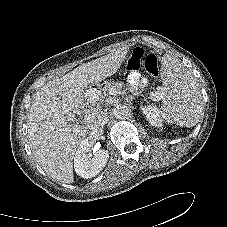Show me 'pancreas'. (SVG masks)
<instances>
[{"label":"pancreas","instance_id":"cf45deb5","mask_svg":"<svg viewBox=\"0 0 227 227\" xmlns=\"http://www.w3.org/2000/svg\"><path fill=\"white\" fill-rule=\"evenodd\" d=\"M123 87H124V84L119 81L107 82L101 91H98L96 89L88 90L87 97L90 98V95L93 94L98 98L96 101L102 100L104 96H108L111 94V90L116 91L114 94L122 95L126 93V89H124Z\"/></svg>","mask_w":227,"mask_h":227}]
</instances>
